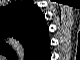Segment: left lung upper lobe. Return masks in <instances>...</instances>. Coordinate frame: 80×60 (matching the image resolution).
Masks as SVG:
<instances>
[{
  "mask_svg": "<svg viewBox=\"0 0 80 60\" xmlns=\"http://www.w3.org/2000/svg\"><path fill=\"white\" fill-rule=\"evenodd\" d=\"M46 32L44 16L40 9L28 1L12 2L0 9V36L3 46L13 52L2 38L14 36L25 47L26 56L32 59L37 57V47Z\"/></svg>",
  "mask_w": 80,
  "mask_h": 60,
  "instance_id": "obj_1",
  "label": "left lung upper lobe"
}]
</instances>
